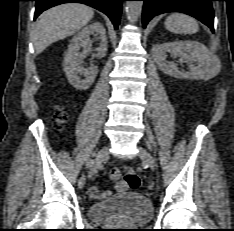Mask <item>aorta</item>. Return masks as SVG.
I'll use <instances>...</instances> for the list:
<instances>
[{
    "mask_svg": "<svg viewBox=\"0 0 234 231\" xmlns=\"http://www.w3.org/2000/svg\"><path fill=\"white\" fill-rule=\"evenodd\" d=\"M143 7L142 1H127L125 6L127 20L134 23L138 20Z\"/></svg>",
    "mask_w": 234,
    "mask_h": 231,
    "instance_id": "aorta-1",
    "label": "aorta"
}]
</instances>
